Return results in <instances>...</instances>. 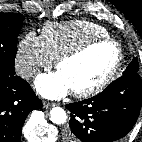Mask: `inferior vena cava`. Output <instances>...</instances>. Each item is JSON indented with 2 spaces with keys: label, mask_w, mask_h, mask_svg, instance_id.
<instances>
[{
  "label": "inferior vena cava",
  "mask_w": 142,
  "mask_h": 142,
  "mask_svg": "<svg viewBox=\"0 0 142 142\" xmlns=\"http://www.w3.org/2000/svg\"><path fill=\"white\" fill-rule=\"evenodd\" d=\"M37 73H38V69L35 67H29V68L21 69L19 71V75L23 79H30L31 77L35 76Z\"/></svg>",
  "instance_id": "inferior-vena-cava-1"
}]
</instances>
